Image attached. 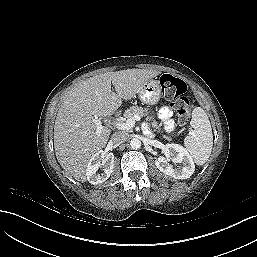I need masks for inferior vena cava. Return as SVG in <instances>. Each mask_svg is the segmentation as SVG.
Returning <instances> with one entry per match:
<instances>
[{
  "label": "inferior vena cava",
  "mask_w": 257,
  "mask_h": 257,
  "mask_svg": "<svg viewBox=\"0 0 257 257\" xmlns=\"http://www.w3.org/2000/svg\"><path fill=\"white\" fill-rule=\"evenodd\" d=\"M111 139L113 144L119 145L121 143L126 142L128 140V136L124 132H118V133H114Z\"/></svg>",
  "instance_id": "602c4592"
}]
</instances>
